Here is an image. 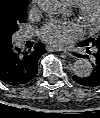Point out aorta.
<instances>
[{"instance_id":"obj_1","label":"aorta","mask_w":100,"mask_h":118,"mask_svg":"<svg viewBox=\"0 0 100 118\" xmlns=\"http://www.w3.org/2000/svg\"><path fill=\"white\" fill-rule=\"evenodd\" d=\"M40 8L51 16H62L67 11L65 0H39ZM73 72L78 77H88L92 73V65L87 59H77L73 63Z\"/></svg>"}]
</instances>
